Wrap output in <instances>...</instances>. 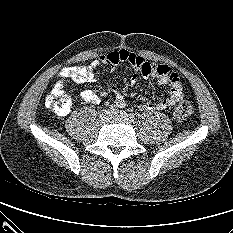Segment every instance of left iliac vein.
Listing matches in <instances>:
<instances>
[{
    "label": "left iliac vein",
    "mask_w": 233,
    "mask_h": 233,
    "mask_svg": "<svg viewBox=\"0 0 233 233\" xmlns=\"http://www.w3.org/2000/svg\"><path fill=\"white\" fill-rule=\"evenodd\" d=\"M112 118L115 120H120L124 122H129L128 114L125 111L117 110L114 113H112Z\"/></svg>",
    "instance_id": "obj_1"
}]
</instances>
